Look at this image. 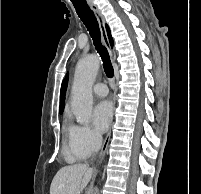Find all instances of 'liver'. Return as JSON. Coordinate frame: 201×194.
Wrapping results in <instances>:
<instances>
[{
	"mask_svg": "<svg viewBox=\"0 0 201 194\" xmlns=\"http://www.w3.org/2000/svg\"><path fill=\"white\" fill-rule=\"evenodd\" d=\"M93 172L87 164L62 167L52 180L50 194H78L88 185Z\"/></svg>",
	"mask_w": 201,
	"mask_h": 194,
	"instance_id": "obj_1",
	"label": "liver"
}]
</instances>
